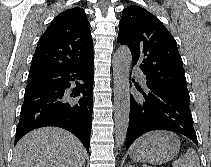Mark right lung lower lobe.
Wrapping results in <instances>:
<instances>
[{"mask_svg":"<svg viewBox=\"0 0 211 167\" xmlns=\"http://www.w3.org/2000/svg\"><path fill=\"white\" fill-rule=\"evenodd\" d=\"M93 58L40 76L26 86L15 143L40 127L55 126L73 133L89 151L92 127ZM71 81L76 86L71 87ZM78 81H82L79 83ZM81 96L78 99H71Z\"/></svg>","mask_w":211,"mask_h":167,"instance_id":"1","label":"right lung lower lobe"}]
</instances>
